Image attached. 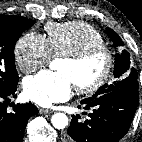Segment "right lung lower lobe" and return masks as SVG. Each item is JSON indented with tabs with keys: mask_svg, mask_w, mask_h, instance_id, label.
I'll return each instance as SVG.
<instances>
[{
	"mask_svg": "<svg viewBox=\"0 0 142 142\" xmlns=\"http://www.w3.org/2000/svg\"><path fill=\"white\" fill-rule=\"evenodd\" d=\"M17 84L0 90V142H22L28 119L38 113L31 104H17L12 112L7 110L10 97H15Z\"/></svg>",
	"mask_w": 142,
	"mask_h": 142,
	"instance_id": "right-lung-lower-lobe-1",
	"label": "right lung lower lobe"
}]
</instances>
